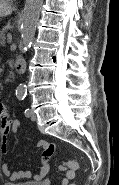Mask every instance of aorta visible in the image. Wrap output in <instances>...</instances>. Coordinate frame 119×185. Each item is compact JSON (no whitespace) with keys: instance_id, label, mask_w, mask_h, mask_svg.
Returning <instances> with one entry per match:
<instances>
[{"instance_id":"aorta-1","label":"aorta","mask_w":119,"mask_h":185,"mask_svg":"<svg viewBox=\"0 0 119 185\" xmlns=\"http://www.w3.org/2000/svg\"><path fill=\"white\" fill-rule=\"evenodd\" d=\"M42 4L43 0H26L20 26L22 44L25 51H28L32 45ZM16 93L25 95L26 85L20 84Z\"/></svg>"}]
</instances>
